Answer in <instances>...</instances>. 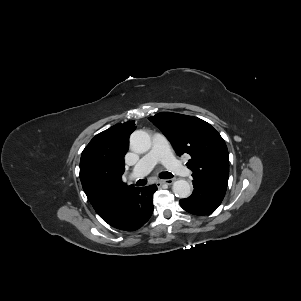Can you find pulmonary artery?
I'll list each match as a JSON object with an SVG mask.
<instances>
[{"label":"pulmonary artery","instance_id":"pulmonary-artery-1","mask_svg":"<svg viewBox=\"0 0 301 301\" xmlns=\"http://www.w3.org/2000/svg\"><path fill=\"white\" fill-rule=\"evenodd\" d=\"M158 162H162L169 170L178 175L188 176L190 174V170L173 156L166 138L162 134L156 133L153 136L150 151L138 161L129 178L134 180L144 177Z\"/></svg>","mask_w":301,"mask_h":301}]
</instances>
